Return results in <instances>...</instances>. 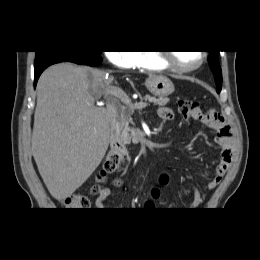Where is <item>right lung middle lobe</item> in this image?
Here are the masks:
<instances>
[{"label":"right lung middle lobe","instance_id":"obj_1","mask_svg":"<svg viewBox=\"0 0 260 260\" xmlns=\"http://www.w3.org/2000/svg\"><path fill=\"white\" fill-rule=\"evenodd\" d=\"M53 53L54 52H50V51H44V52L37 51L36 57H35V64L39 63L40 61H42L43 59H45L46 57H48L49 55H51ZM87 53L100 55V51H92V52H87Z\"/></svg>","mask_w":260,"mask_h":260}]
</instances>
